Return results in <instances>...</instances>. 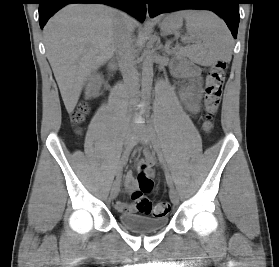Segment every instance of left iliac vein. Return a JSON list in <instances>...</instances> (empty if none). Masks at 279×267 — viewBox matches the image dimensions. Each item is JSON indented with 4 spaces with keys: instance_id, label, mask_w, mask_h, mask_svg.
Listing matches in <instances>:
<instances>
[{
    "instance_id": "4c4485c4",
    "label": "left iliac vein",
    "mask_w": 279,
    "mask_h": 267,
    "mask_svg": "<svg viewBox=\"0 0 279 267\" xmlns=\"http://www.w3.org/2000/svg\"><path fill=\"white\" fill-rule=\"evenodd\" d=\"M135 139L142 142L143 144L150 145L151 147H155L154 139L151 132L144 126H141L140 129L137 131V134L135 135ZM169 196L171 202L174 205H178L179 196L174 188H170Z\"/></svg>"
}]
</instances>
